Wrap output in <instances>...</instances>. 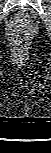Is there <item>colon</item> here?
Here are the masks:
<instances>
[{
    "instance_id": "colon-1",
    "label": "colon",
    "mask_w": 51,
    "mask_h": 153,
    "mask_svg": "<svg viewBox=\"0 0 51 153\" xmlns=\"http://www.w3.org/2000/svg\"><path fill=\"white\" fill-rule=\"evenodd\" d=\"M12 37H13L14 43L20 47L27 45L30 40L26 31L22 29H16L13 32Z\"/></svg>"
}]
</instances>
